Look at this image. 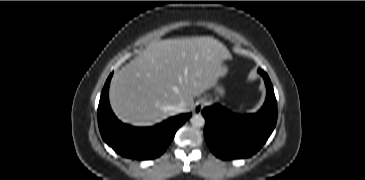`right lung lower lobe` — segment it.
Listing matches in <instances>:
<instances>
[{
  "label": "right lung lower lobe",
  "mask_w": 365,
  "mask_h": 180,
  "mask_svg": "<svg viewBox=\"0 0 365 180\" xmlns=\"http://www.w3.org/2000/svg\"><path fill=\"white\" fill-rule=\"evenodd\" d=\"M112 74L108 77L99 101L98 125L103 140L119 155L133 160L160 156L172 141L177 129L191 113L171 117L153 127L138 128L121 123L113 114L108 98Z\"/></svg>",
  "instance_id": "obj_1"
}]
</instances>
